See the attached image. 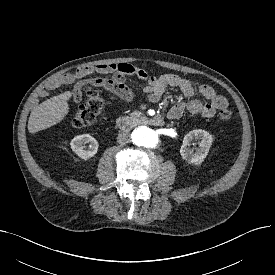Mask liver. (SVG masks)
<instances>
[{
    "instance_id": "liver-1",
    "label": "liver",
    "mask_w": 275,
    "mask_h": 275,
    "mask_svg": "<svg viewBox=\"0 0 275 275\" xmlns=\"http://www.w3.org/2000/svg\"><path fill=\"white\" fill-rule=\"evenodd\" d=\"M71 97L72 92L66 91L33 108L28 120V131L36 133L60 123L69 113L68 101Z\"/></svg>"
}]
</instances>
